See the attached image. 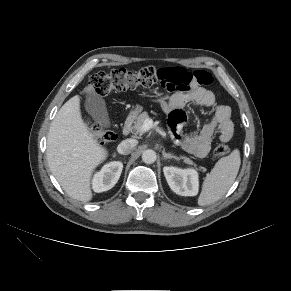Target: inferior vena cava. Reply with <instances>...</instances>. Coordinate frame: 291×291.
<instances>
[{
  "instance_id": "1",
  "label": "inferior vena cava",
  "mask_w": 291,
  "mask_h": 291,
  "mask_svg": "<svg viewBox=\"0 0 291 291\" xmlns=\"http://www.w3.org/2000/svg\"><path fill=\"white\" fill-rule=\"evenodd\" d=\"M137 145V141L134 139H126L123 140L117 147V150L120 154L128 155L130 154L135 146Z\"/></svg>"
}]
</instances>
